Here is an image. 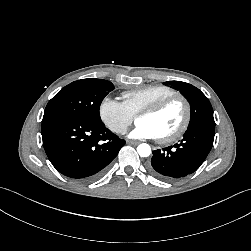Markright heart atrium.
I'll list each match as a JSON object with an SVG mask.
<instances>
[{
    "instance_id": "1",
    "label": "right heart atrium",
    "mask_w": 251,
    "mask_h": 251,
    "mask_svg": "<svg viewBox=\"0 0 251 251\" xmlns=\"http://www.w3.org/2000/svg\"><path fill=\"white\" fill-rule=\"evenodd\" d=\"M98 112L104 125L116 134H124L134 120L124 103L111 97L101 101Z\"/></svg>"
}]
</instances>
